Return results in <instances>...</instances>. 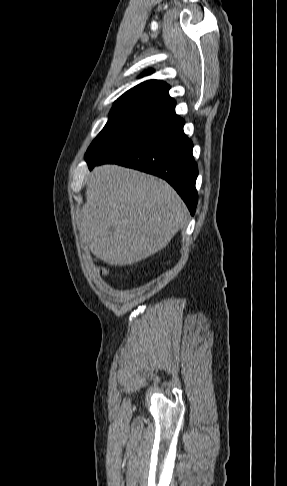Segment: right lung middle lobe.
Instances as JSON below:
<instances>
[{"mask_svg":"<svg viewBox=\"0 0 287 486\" xmlns=\"http://www.w3.org/2000/svg\"><path fill=\"white\" fill-rule=\"evenodd\" d=\"M173 112L148 106L113 107L103 130L89 146L88 165L139 138Z\"/></svg>","mask_w":287,"mask_h":486,"instance_id":"right-lung-middle-lobe-1","label":"right lung middle lobe"}]
</instances>
